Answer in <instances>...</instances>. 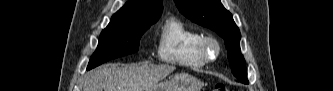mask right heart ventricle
<instances>
[{
    "label": "right heart ventricle",
    "mask_w": 333,
    "mask_h": 91,
    "mask_svg": "<svg viewBox=\"0 0 333 91\" xmlns=\"http://www.w3.org/2000/svg\"><path fill=\"white\" fill-rule=\"evenodd\" d=\"M203 34L171 17L161 28L158 40V56L167 63L186 67L202 68L206 62L199 53Z\"/></svg>",
    "instance_id": "obj_1"
}]
</instances>
